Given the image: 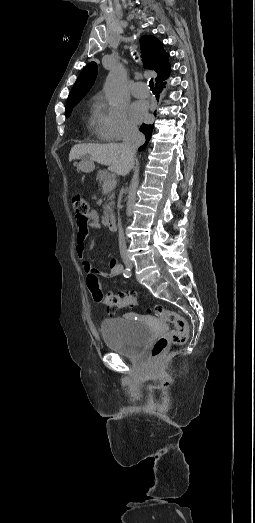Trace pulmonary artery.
Segmentation results:
<instances>
[{
	"label": "pulmonary artery",
	"mask_w": 255,
	"mask_h": 523,
	"mask_svg": "<svg viewBox=\"0 0 255 523\" xmlns=\"http://www.w3.org/2000/svg\"><path fill=\"white\" fill-rule=\"evenodd\" d=\"M149 92V86L144 82H137L131 88V93L135 97H147Z\"/></svg>",
	"instance_id": "obj_1"
}]
</instances>
